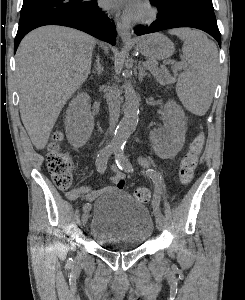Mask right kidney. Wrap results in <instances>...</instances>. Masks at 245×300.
I'll use <instances>...</instances> for the list:
<instances>
[{
	"label": "right kidney",
	"mask_w": 245,
	"mask_h": 300,
	"mask_svg": "<svg viewBox=\"0 0 245 300\" xmlns=\"http://www.w3.org/2000/svg\"><path fill=\"white\" fill-rule=\"evenodd\" d=\"M90 108V97L84 92L76 95L68 106L65 118L66 136L74 148L84 146L92 134L94 120Z\"/></svg>",
	"instance_id": "right-kidney-1"
}]
</instances>
